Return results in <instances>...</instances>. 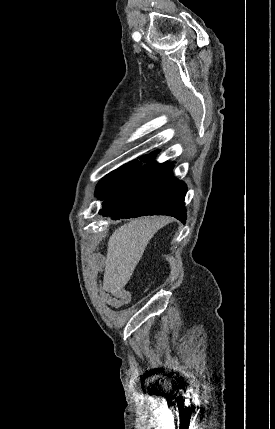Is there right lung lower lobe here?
<instances>
[{"label":"right lung lower lobe","mask_w":275,"mask_h":429,"mask_svg":"<svg viewBox=\"0 0 275 429\" xmlns=\"http://www.w3.org/2000/svg\"><path fill=\"white\" fill-rule=\"evenodd\" d=\"M173 164L155 160L144 165L133 180L104 199L99 213L112 219L168 215L185 223L187 187L171 174Z\"/></svg>","instance_id":"obj_1"}]
</instances>
